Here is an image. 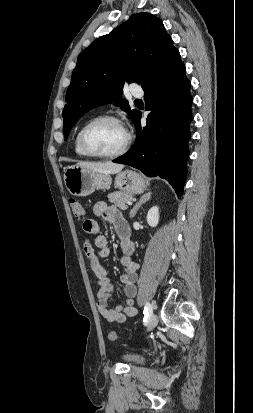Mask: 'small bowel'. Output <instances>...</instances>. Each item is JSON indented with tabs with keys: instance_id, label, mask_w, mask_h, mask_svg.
<instances>
[{
	"instance_id": "1",
	"label": "small bowel",
	"mask_w": 253,
	"mask_h": 413,
	"mask_svg": "<svg viewBox=\"0 0 253 413\" xmlns=\"http://www.w3.org/2000/svg\"><path fill=\"white\" fill-rule=\"evenodd\" d=\"M93 211L96 216L102 217L114 226L121 240L123 254L120 258V263L124 268V273L121 275V282L126 296V306L108 307V299L112 294L113 286L100 259L110 255V248L106 237L100 233L98 222L88 218L83 221V230L87 234L95 236V246L97 250L89 240H86L84 243V253L88 267L93 273L96 285L98 286L96 306L99 313L108 322L123 323L137 314V310L134 307V298L137 294L136 281L138 279L139 265L133 261L131 257L133 244L130 241V229L121 211L114 206L108 205L106 202H97L94 205Z\"/></svg>"
}]
</instances>
